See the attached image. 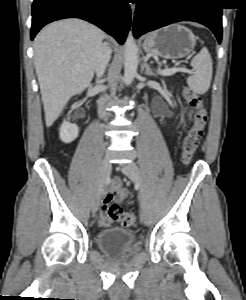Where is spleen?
<instances>
[{
    "label": "spleen",
    "instance_id": "obj_1",
    "mask_svg": "<svg viewBox=\"0 0 246 300\" xmlns=\"http://www.w3.org/2000/svg\"><path fill=\"white\" fill-rule=\"evenodd\" d=\"M194 74L187 79L189 87L197 94H204L210 88L212 80V59L206 47L191 60Z\"/></svg>",
    "mask_w": 246,
    "mask_h": 300
}]
</instances>
